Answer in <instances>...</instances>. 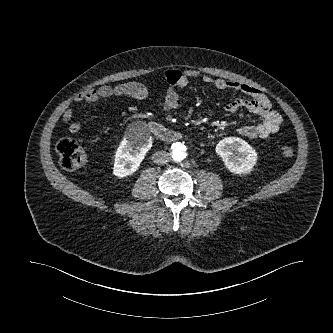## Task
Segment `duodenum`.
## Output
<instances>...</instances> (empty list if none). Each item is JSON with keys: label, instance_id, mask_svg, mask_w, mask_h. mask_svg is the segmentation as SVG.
Returning <instances> with one entry per match:
<instances>
[{"label": "duodenum", "instance_id": "obj_1", "mask_svg": "<svg viewBox=\"0 0 333 333\" xmlns=\"http://www.w3.org/2000/svg\"><path fill=\"white\" fill-rule=\"evenodd\" d=\"M148 129L156 138L167 143L175 142L183 138L180 132L171 130L157 122L149 123Z\"/></svg>", "mask_w": 333, "mask_h": 333}]
</instances>
